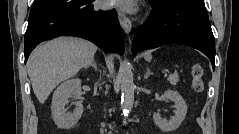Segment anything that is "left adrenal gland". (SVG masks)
I'll return each instance as SVG.
<instances>
[{
	"label": "left adrenal gland",
	"mask_w": 239,
	"mask_h": 134,
	"mask_svg": "<svg viewBox=\"0 0 239 134\" xmlns=\"http://www.w3.org/2000/svg\"><path fill=\"white\" fill-rule=\"evenodd\" d=\"M151 74H153V73L150 72V69H149V68H147V72H146L144 78L147 79Z\"/></svg>",
	"instance_id": "left-adrenal-gland-1"
}]
</instances>
